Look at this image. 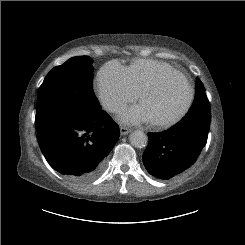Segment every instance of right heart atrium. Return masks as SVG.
Here are the masks:
<instances>
[{
	"label": "right heart atrium",
	"mask_w": 245,
	"mask_h": 245,
	"mask_svg": "<svg viewBox=\"0 0 245 245\" xmlns=\"http://www.w3.org/2000/svg\"><path fill=\"white\" fill-rule=\"evenodd\" d=\"M95 90L103 106L114 114L121 113L139 96L131 84L127 68L117 61L108 62L100 68Z\"/></svg>",
	"instance_id": "right-heart-atrium-1"
}]
</instances>
